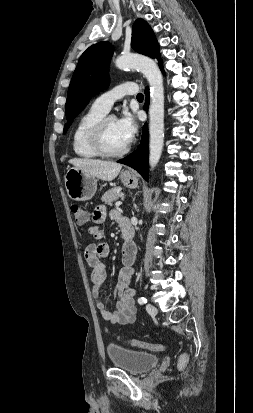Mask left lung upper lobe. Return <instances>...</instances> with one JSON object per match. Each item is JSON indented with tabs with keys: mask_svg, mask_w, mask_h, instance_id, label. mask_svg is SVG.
<instances>
[{
	"mask_svg": "<svg viewBox=\"0 0 253 413\" xmlns=\"http://www.w3.org/2000/svg\"><path fill=\"white\" fill-rule=\"evenodd\" d=\"M131 47L138 53L157 58L159 64L162 62L155 35L142 19L133 24ZM112 53V46L108 42H99L81 55L68 88L65 104L67 124L64 126V133L91 97L108 88V67Z\"/></svg>",
	"mask_w": 253,
	"mask_h": 413,
	"instance_id": "5c2ea615",
	"label": "left lung upper lobe"
}]
</instances>
